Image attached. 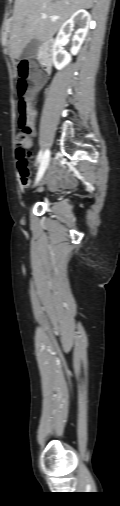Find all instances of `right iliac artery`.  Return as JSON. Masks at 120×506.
I'll return each instance as SVG.
<instances>
[{"label": "right iliac artery", "instance_id": "1", "mask_svg": "<svg viewBox=\"0 0 120 506\" xmlns=\"http://www.w3.org/2000/svg\"><path fill=\"white\" fill-rule=\"evenodd\" d=\"M43 156H44V155H43V152H42V151H40V152H39V154H38V156H37V161H38V163L42 162V160H43ZM47 165H48V159H47V160H45V161L43 162V164H42V166H41L42 171H40V172L38 173L37 180H39V179L42 177L43 172H44V170L46 169Z\"/></svg>", "mask_w": 120, "mask_h": 506}]
</instances>
